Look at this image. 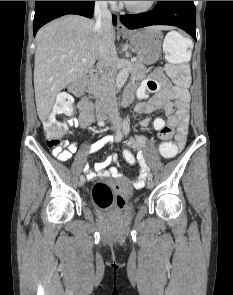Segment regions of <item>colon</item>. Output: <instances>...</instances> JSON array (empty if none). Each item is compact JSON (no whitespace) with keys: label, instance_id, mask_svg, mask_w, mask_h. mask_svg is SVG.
Wrapping results in <instances>:
<instances>
[{"label":"colon","instance_id":"obj_1","mask_svg":"<svg viewBox=\"0 0 233 295\" xmlns=\"http://www.w3.org/2000/svg\"><path fill=\"white\" fill-rule=\"evenodd\" d=\"M166 56L165 70L173 79L172 88L174 94L180 95L188 91L190 86L189 61L192 54L191 40L184 34L169 32L163 44ZM86 86V79L80 78L68 86L67 91L60 93L54 103L52 112L44 121V131L47 143L50 147L61 144L62 138L67 131V123L61 118L73 113L72 96L81 94ZM172 129L165 127L159 132L163 139L160 145V153L164 158H171L178 152L177 144L171 140ZM124 161L128 165L136 164V156L128 149L122 153ZM94 202L103 209L109 208L114 202V195L110 187L104 182L96 183L92 188Z\"/></svg>","mask_w":233,"mask_h":295}]
</instances>
